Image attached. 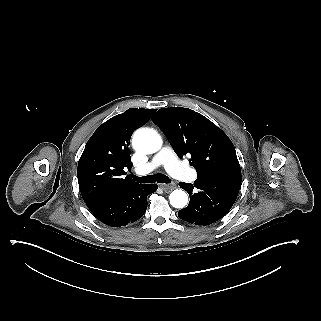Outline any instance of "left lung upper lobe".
<instances>
[{
    "mask_svg": "<svg viewBox=\"0 0 321 321\" xmlns=\"http://www.w3.org/2000/svg\"><path fill=\"white\" fill-rule=\"evenodd\" d=\"M152 120L182 157L190 154L197 176L241 171L233 143L203 115L182 107L159 109Z\"/></svg>",
    "mask_w": 321,
    "mask_h": 321,
    "instance_id": "left-lung-upper-lobe-1",
    "label": "left lung upper lobe"
}]
</instances>
